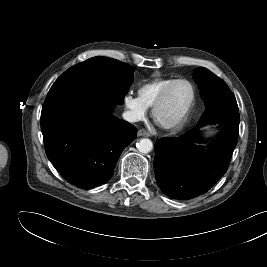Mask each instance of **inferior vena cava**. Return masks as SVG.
Masks as SVG:
<instances>
[{
  "label": "inferior vena cava",
  "instance_id": "inferior-vena-cava-1",
  "mask_svg": "<svg viewBox=\"0 0 267 267\" xmlns=\"http://www.w3.org/2000/svg\"><path fill=\"white\" fill-rule=\"evenodd\" d=\"M122 116L124 120L130 123H134L138 121L136 114L132 111H125Z\"/></svg>",
  "mask_w": 267,
  "mask_h": 267
}]
</instances>
